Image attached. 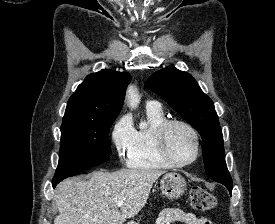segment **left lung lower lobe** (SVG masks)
Returning <instances> with one entry per match:
<instances>
[{
	"label": "left lung lower lobe",
	"mask_w": 275,
	"mask_h": 224,
	"mask_svg": "<svg viewBox=\"0 0 275 224\" xmlns=\"http://www.w3.org/2000/svg\"><path fill=\"white\" fill-rule=\"evenodd\" d=\"M221 183L228 188L230 193L232 192V183L227 182V181H222Z\"/></svg>",
	"instance_id": "1"
}]
</instances>
